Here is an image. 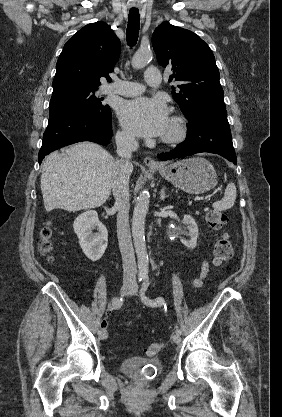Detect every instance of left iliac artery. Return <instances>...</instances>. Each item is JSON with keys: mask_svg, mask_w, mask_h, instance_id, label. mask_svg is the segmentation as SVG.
Instances as JSON below:
<instances>
[{"mask_svg": "<svg viewBox=\"0 0 282 417\" xmlns=\"http://www.w3.org/2000/svg\"><path fill=\"white\" fill-rule=\"evenodd\" d=\"M149 284H150L149 283V279L148 278H144L143 279V283H142V287H141V290H140L141 300L145 304H147L149 306H153V307L163 305L164 304V299L162 297H157L156 299L151 300V299H149L148 297L145 296V293H146V291H147V289L149 287ZM176 333L179 334V335H181V330L180 329H177L176 330Z\"/></svg>", "mask_w": 282, "mask_h": 417, "instance_id": "obj_1", "label": "left iliac artery"}]
</instances>
